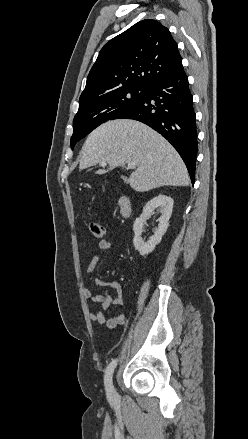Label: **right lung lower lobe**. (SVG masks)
<instances>
[{
	"label": "right lung lower lobe",
	"instance_id": "1",
	"mask_svg": "<svg viewBox=\"0 0 248 439\" xmlns=\"http://www.w3.org/2000/svg\"><path fill=\"white\" fill-rule=\"evenodd\" d=\"M134 119L165 137L182 157L195 182L197 157L196 115L183 67L153 82L141 99L118 119Z\"/></svg>",
	"mask_w": 248,
	"mask_h": 439
}]
</instances>
